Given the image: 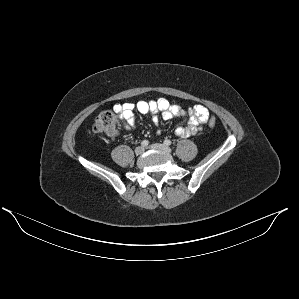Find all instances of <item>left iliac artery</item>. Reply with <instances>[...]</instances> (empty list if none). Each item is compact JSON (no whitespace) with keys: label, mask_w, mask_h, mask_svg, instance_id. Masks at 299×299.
<instances>
[{"label":"left iliac artery","mask_w":299,"mask_h":299,"mask_svg":"<svg viewBox=\"0 0 299 299\" xmlns=\"http://www.w3.org/2000/svg\"><path fill=\"white\" fill-rule=\"evenodd\" d=\"M171 143H172V142H171L169 139H165V140H164V144H165V145H171Z\"/></svg>","instance_id":"left-iliac-artery-1"}]
</instances>
